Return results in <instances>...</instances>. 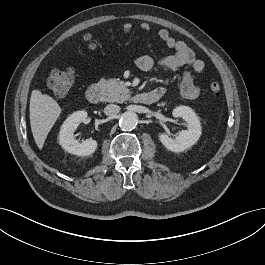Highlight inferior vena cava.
I'll return each mask as SVG.
<instances>
[{
	"mask_svg": "<svg viewBox=\"0 0 265 265\" xmlns=\"http://www.w3.org/2000/svg\"><path fill=\"white\" fill-rule=\"evenodd\" d=\"M120 111V107L115 104H109L104 108V113L107 116H114L117 115Z\"/></svg>",
	"mask_w": 265,
	"mask_h": 265,
	"instance_id": "inferior-vena-cava-1",
	"label": "inferior vena cava"
}]
</instances>
